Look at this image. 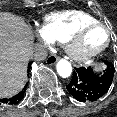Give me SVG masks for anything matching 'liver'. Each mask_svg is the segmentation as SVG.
Masks as SVG:
<instances>
[{"mask_svg": "<svg viewBox=\"0 0 117 117\" xmlns=\"http://www.w3.org/2000/svg\"><path fill=\"white\" fill-rule=\"evenodd\" d=\"M33 33L22 17L0 12V98L17 94L27 76Z\"/></svg>", "mask_w": 117, "mask_h": 117, "instance_id": "liver-1", "label": "liver"}]
</instances>
